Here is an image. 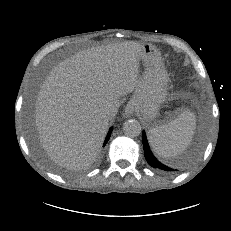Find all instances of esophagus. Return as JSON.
I'll return each mask as SVG.
<instances>
[{
  "mask_svg": "<svg viewBox=\"0 0 231 231\" xmlns=\"http://www.w3.org/2000/svg\"><path fill=\"white\" fill-rule=\"evenodd\" d=\"M134 113V108L132 105L128 104L126 109H125V115L126 116H131Z\"/></svg>",
  "mask_w": 231,
  "mask_h": 231,
  "instance_id": "obj_1",
  "label": "esophagus"
}]
</instances>
